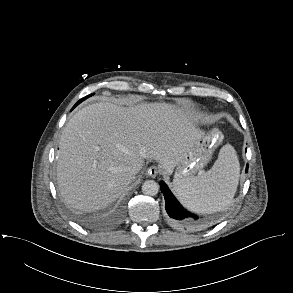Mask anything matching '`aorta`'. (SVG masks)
I'll return each mask as SVG.
<instances>
[{
    "label": "aorta",
    "mask_w": 293,
    "mask_h": 293,
    "mask_svg": "<svg viewBox=\"0 0 293 293\" xmlns=\"http://www.w3.org/2000/svg\"><path fill=\"white\" fill-rule=\"evenodd\" d=\"M159 191V185L154 180H146L142 185V192L148 196H155Z\"/></svg>",
    "instance_id": "1"
}]
</instances>
